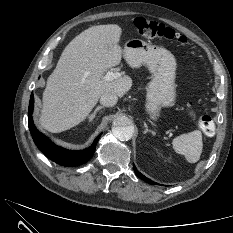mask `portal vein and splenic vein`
I'll return each mask as SVG.
<instances>
[{
	"mask_svg": "<svg viewBox=\"0 0 233 233\" xmlns=\"http://www.w3.org/2000/svg\"><path fill=\"white\" fill-rule=\"evenodd\" d=\"M120 76V74L118 72H113V71H108L105 74V80L106 81H113L114 79H117Z\"/></svg>",
	"mask_w": 233,
	"mask_h": 233,
	"instance_id": "obj_1",
	"label": "portal vein and splenic vein"
}]
</instances>
